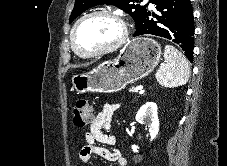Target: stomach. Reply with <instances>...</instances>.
<instances>
[{
    "label": "stomach",
    "instance_id": "0dacf381",
    "mask_svg": "<svg viewBox=\"0 0 227 166\" xmlns=\"http://www.w3.org/2000/svg\"><path fill=\"white\" fill-rule=\"evenodd\" d=\"M161 46L153 39L131 40L114 60L105 61L88 73L71 77L77 94L115 93L151 73L161 57Z\"/></svg>",
    "mask_w": 227,
    "mask_h": 166
}]
</instances>
